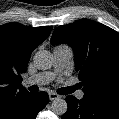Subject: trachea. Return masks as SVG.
Returning a JSON list of instances; mask_svg holds the SVG:
<instances>
[{
  "instance_id": "obj_1",
  "label": "trachea",
  "mask_w": 119,
  "mask_h": 119,
  "mask_svg": "<svg viewBox=\"0 0 119 119\" xmlns=\"http://www.w3.org/2000/svg\"><path fill=\"white\" fill-rule=\"evenodd\" d=\"M76 89H77L76 86H74V87H67V88H64V89L60 90V94H70V93L74 92V90H76ZM29 90L31 92H36L35 86L30 87Z\"/></svg>"
}]
</instances>
